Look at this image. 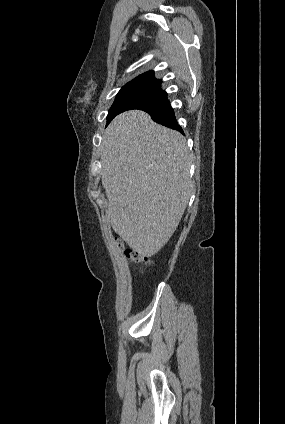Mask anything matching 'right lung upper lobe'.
I'll list each match as a JSON object with an SVG mask.
<instances>
[{
    "label": "right lung upper lobe",
    "mask_w": 285,
    "mask_h": 424,
    "mask_svg": "<svg viewBox=\"0 0 285 424\" xmlns=\"http://www.w3.org/2000/svg\"><path fill=\"white\" fill-rule=\"evenodd\" d=\"M136 84H161V80L156 79L154 77V71H148L137 76L136 78L128 82L125 86Z\"/></svg>",
    "instance_id": "cb5924a9"
}]
</instances>
